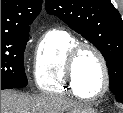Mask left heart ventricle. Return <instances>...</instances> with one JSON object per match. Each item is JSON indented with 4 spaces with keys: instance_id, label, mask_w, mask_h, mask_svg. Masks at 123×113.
Here are the masks:
<instances>
[{
    "instance_id": "obj_1",
    "label": "left heart ventricle",
    "mask_w": 123,
    "mask_h": 113,
    "mask_svg": "<svg viewBox=\"0 0 123 113\" xmlns=\"http://www.w3.org/2000/svg\"><path fill=\"white\" fill-rule=\"evenodd\" d=\"M79 90L85 94H96L104 84L103 69L98 57L91 51H84L75 66Z\"/></svg>"
}]
</instances>
